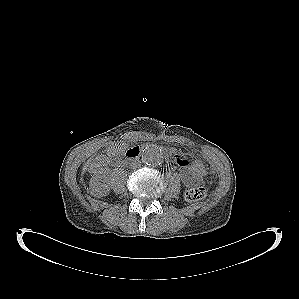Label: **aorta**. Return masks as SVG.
Returning a JSON list of instances; mask_svg holds the SVG:
<instances>
[{
  "label": "aorta",
  "mask_w": 299,
  "mask_h": 299,
  "mask_svg": "<svg viewBox=\"0 0 299 299\" xmlns=\"http://www.w3.org/2000/svg\"><path fill=\"white\" fill-rule=\"evenodd\" d=\"M143 162L150 166H158L163 160V152L156 145H146L142 150Z\"/></svg>",
  "instance_id": "obj_1"
}]
</instances>
